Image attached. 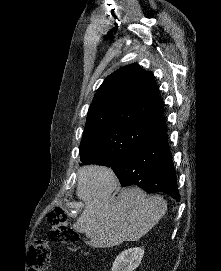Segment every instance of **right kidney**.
Wrapping results in <instances>:
<instances>
[{
	"label": "right kidney",
	"instance_id": "ca27d5eb",
	"mask_svg": "<svg viewBox=\"0 0 221 271\" xmlns=\"http://www.w3.org/2000/svg\"><path fill=\"white\" fill-rule=\"evenodd\" d=\"M143 255V247H128L116 255L111 271H134L141 263Z\"/></svg>",
	"mask_w": 221,
	"mask_h": 271
}]
</instances>
